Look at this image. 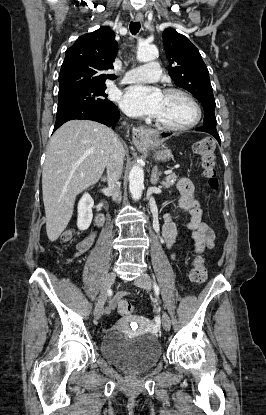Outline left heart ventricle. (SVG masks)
Listing matches in <instances>:
<instances>
[{"label":"left heart ventricle","mask_w":266,"mask_h":415,"mask_svg":"<svg viewBox=\"0 0 266 415\" xmlns=\"http://www.w3.org/2000/svg\"><path fill=\"white\" fill-rule=\"evenodd\" d=\"M193 118V107L183 97L164 94L162 107L156 120L171 126H181L188 124Z\"/></svg>","instance_id":"left-heart-ventricle-1"}]
</instances>
